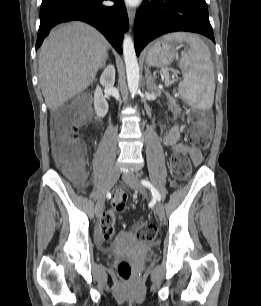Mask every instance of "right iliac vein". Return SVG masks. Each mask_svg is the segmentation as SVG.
Returning <instances> with one entry per match:
<instances>
[{
  "instance_id": "obj_1",
  "label": "right iliac vein",
  "mask_w": 261,
  "mask_h": 306,
  "mask_svg": "<svg viewBox=\"0 0 261 306\" xmlns=\"http://www.w3.org/2000/svg\"><path fill=\"white\" fill-rule=\"evenodd\" d=\"M119 178V171L116 168H113L108 176V180L106 182V185L99 196L97 202H96V214L99 215L104 207V202L106 198V194L108 191L114 186V184L117 182Z\"/></svg>"
}]
</instances>
